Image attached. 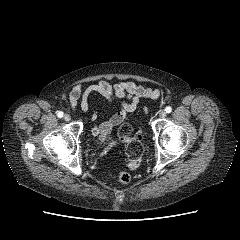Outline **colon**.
<instances>
[{"label": "colon", "instance_id": "5ec220e1", "mask_svg": "<svg viewBox=\"0 0 240 240\" xmlns=\"http://www.w3.org/2000/svg\"><path fill=\"white\" fill-rule=\"evenodd\" d=\"M132 129L128 124L121 125L119 136L121 141L125 143L126 153L129 159V168L136 169L139 166L142 156V144L138 139L132 138ZM118 182L126 184L130 181L131 176L126 171H119L116 174Z\"/></svg>", "mask_w": 240, "mask_h": 240}]
</instances>
